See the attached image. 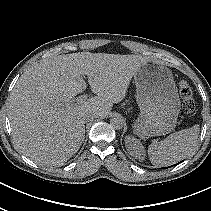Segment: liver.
Instances as JSON below:
<instances>
[{
  "label": "liver",
  "mask_w": 211,
  "mask_h": 211,
  "mask_svg": "<svg viewBox=\"0 0 211 211\" xmlns=\"http://www.w3.org/2000/svg\"><path fill=\"white\" fill-rule=\"evenodd\" d=\"M147 60L81 52L51 57L27 69L9 99L15 145L41 166L63 165L84 140V115L106 116L125 98L132 77ZM84 75L97 96L74 104L73 98L86 87Z\"/></svg>",
  "instance_id": "obj_1"
}]
</instances>
